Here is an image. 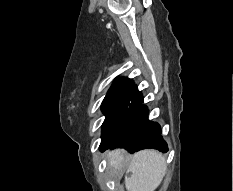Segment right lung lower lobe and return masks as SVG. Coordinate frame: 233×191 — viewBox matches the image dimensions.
<instances>
[{"label":"right lung lower lobe","instance_id":"obj_1","mask_svg":"<svg viewBox=\"0 0 233 191\" xmlns=\"http://www.w3.org/2000/svg\"><path fill=\"white\" fill-rule=\"evenodd\" d=\"M127 108L116 123L102 136L100 150L122 147L130 153L144 148H154L167 152V144L161 136V128L148 120V109L143 105V97L134 86L126 95Z\"/></svg>","mask_w":233,"mask_h":191}]
</instances>
